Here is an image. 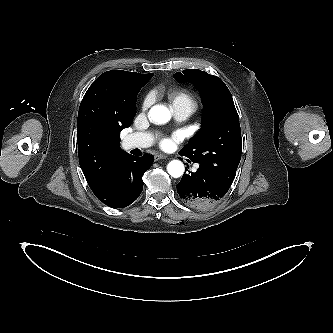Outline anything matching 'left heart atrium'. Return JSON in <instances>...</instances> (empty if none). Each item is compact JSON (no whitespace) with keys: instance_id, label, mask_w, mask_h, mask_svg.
<instances>
[{"instance_id":"left-heart-atrium-1","label":"left heart atrium","mask_w":333,"mask_h":333,"mask_svg":"<svg viewBox=\"0 0 333 333\" xmlns=\"http://www.w3.org/2000/svg\"><path fill=\"white\" fill-rule=\"evenodd\" d=\"M170 143V140L169 139H165L163 140L162 144L163 145H168Z\"/></svg>"}]
</instances>
